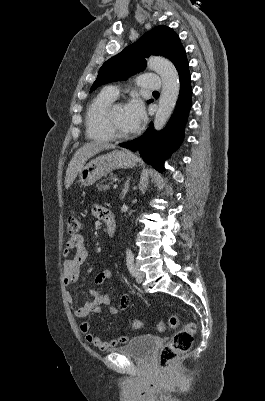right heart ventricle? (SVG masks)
Here are the masks:
<instances>
[{"mask_svg": "<svg viewBox=\"0 0 265 401\" xmlns=\"http://www.w3.org/2000/svg\"><path fill=\"white\" fill-rule=\"evenodd\" d=\"M116 97L108 89L100 91L88 104L85 113L86 135L93 140L109 141L110 137L102 125V118Z\"/></svg>", "mask_w": 265, "mask_h": 401, "instance_id": "obj_1", "label": "right heart ventricle"}]
</instances>
